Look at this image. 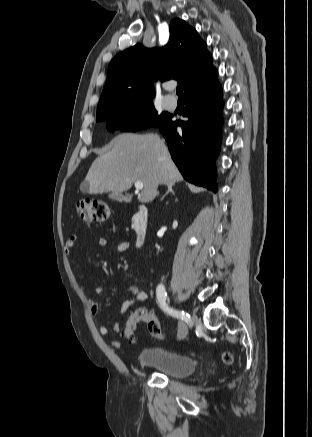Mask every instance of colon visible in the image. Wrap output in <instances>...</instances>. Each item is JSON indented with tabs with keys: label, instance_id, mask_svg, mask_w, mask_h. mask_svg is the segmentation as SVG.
Here are the masks:
<instances>
[{
	"label": "colon",
	"instance_id": "colon-1",
	"mask_svg": "<svg viewBox=\"0 0 312 437\" xmlns=\"http://www.w3.org/2000/svg\"><path fill=\"white\" fill-rule=\"evenodd\" d=\"M75 209L78 217L87 222H105L112 217L109 206L98 199L83 198L76 203ZM139 323H145L153 337L157 339L165 338L166 334L162 331L156 315L144 307H139L131 311L125 319L124 336L128 341H135V330ZM223 361L226 364H231L233 361L232 355L225 353Z\"/></svg>",
	"mask_w": 312,
	"mask_h": 437
}]
</instances>
